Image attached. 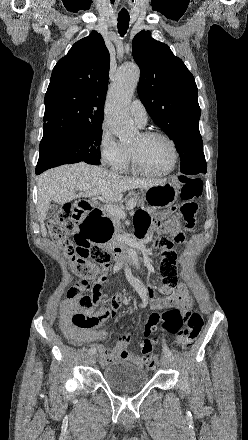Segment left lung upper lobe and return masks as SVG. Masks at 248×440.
<instances>
[{"label": "left lung upper lobe", "instance_id": "left-lung-upper-lobe-1", "mask_svg": "<svg viewBox=\"0 0 248 440\" xmlns=\"http://www.w3.org/2000/svg\"><path fill=\"white\" fill-rule=\"evenodd\" d=\"M132 51L141 71L139 98L153 121L174 140L181 172L206 173L193 75L166 44L151 37L150 31L143 30L134 37Z\"/></svg>", "mask_w": 248, "mask_h": 440}]
</instances>
